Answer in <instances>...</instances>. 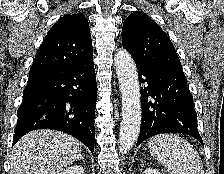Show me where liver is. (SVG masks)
Returning a JSON list of instances; mask_svg holds the SVG:
<instances>
[{
	"label": "liver",
	"instance_id": "liver-1",
	"mask_svg": "<svg viewBox=\"0 0 224 174\" xmlns=\"http://www.w3.org/2000/svg\"><path fill=\"white\" fill-rule=\"evenodd\" d=\"M81 145L60 131H31L13 147L9 174H59L80 157Z\"/></svg>",
	"mask_w": 224,
	"mask_h": 174
}]
</instances>
